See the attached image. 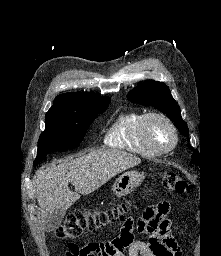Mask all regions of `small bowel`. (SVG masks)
I'll return each instance as SVG.
<instances>
[{
	"mask_svg": "<svg viewBox=\"0 0 221 256\" xmlns=\"http://www.w3.org/2000/svg\"><path fill=\"white\" fill-rule=\"evenodd\" d=\"M168 202H159L148 207L136 221L129 218L119 236L114 239L94 242L71 250L67 256H181V249L173 235ZM135 232L144 234L146 241L136 240Z\"/></svg>",
	"mask_w": 221,
	"mask_h": 256,
	"instance_id": "obj_1",
	"label": "small bowel"
}]
</instances>
